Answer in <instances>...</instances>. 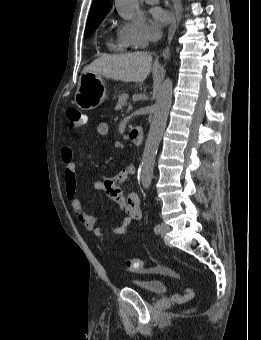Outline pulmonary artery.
I'll return each instance as SVG.
<instances>
[{
	"mask_svg": "<svg viewBox=\"0 0 261 340\" xmlns=\"http://www.w3.org/2000/svg\"><path fill=\"white\" fill-rule=\"evenodd\" d=\"M149 4H155L158 2V0H145Z\"/></svg>",
	"mask_w": 261,
	"mask_h": 340,
	"instance_id": "obj_1",
	"label": "pulmonary artery"
}]
</instances>
